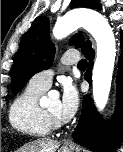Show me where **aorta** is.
I'll use <instances>...</instances> for the list:
<instances>
[{"mask_svg": "<svg viewBox=\"0 0 123 152\" xmlns=\"http://www.w3.org/2000/svg\"><path fill=\"white\" fill-rule=\"evenodd\" d=\"M80 27L85 28L97 43V57L92 73L93 98L97 109L102 111L108 102L116 56L114 33L106 18L98 12L77 10L57 20L53 36L62 39Z\"/></svg>", "mask_w": 123, "mask_h": 152, "instance_id": "obj_1", "label": "aorta"}]
</instances>
